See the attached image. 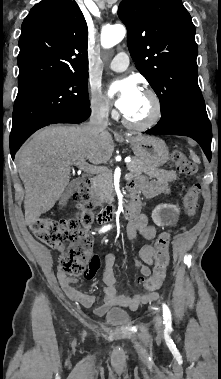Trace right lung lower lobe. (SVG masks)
I'll use <instances>...</instances> for the list:
<instances>
[{
  "instance_id": "obj_1",
  "label": "right lung lower lobe",
  "mask_w": 221,
  "mask_h": 379,
  "mask_svg": "<svg viewBox=\"0 0 221 379\" xmlns=\"http://www.w3.org/2000/svg\"><path fill=\"white\" fill-rule=\"evenodd\" d=\"M90 113H91V110H90V108H88L87 110L83 111L80 114L62 118L58 121H55L54 123H81V122L85 121L90 116ZM54 123H52V124H54ZM25 140L26 139L16 141V142H10V151H11L12 159H14L16 151L19 149V147L22 145V143Z\"/></svg>"
}]
</instances>
